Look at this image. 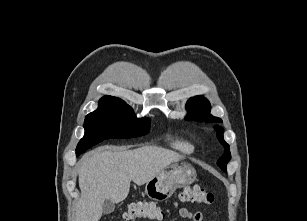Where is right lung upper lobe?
<instances>
[{
  "label": "right lung upper lobe",
  "instance_id": "obj_1",
  "mask_svg": "<svg viewBox=\"0 0 307 221\" xmlns=\"http://www.w3.org/2000/svg\"><path fill=\"white\" fill-rule=\"evenodd\" d=\"M99 103H119V104H125L123 100L117 97L113 96H104L100 99Z\"/></svg>",
  "mask_w": 307,
  "mask_h": 221
}]
</instances>
